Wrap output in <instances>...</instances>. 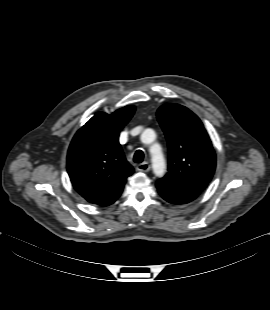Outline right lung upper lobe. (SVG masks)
<instances>
[{"label": "right lung upper lobe", "mask_w": 270, "mask_h": 310, "mask_svg": "<svg viewBox=\"0 0 270 310\" xmlns=\"http://www.w3.org/2000/svg\"><path fill=\"white\" fill-rule=\"evenodd\" d=\"M135 107L111 115L95 114L75 134L67 155V170L74 189L88 202L102 205L121 194L134 169L126 161L118 138Z\"/></svg>", "instance_id": "obj_1"}]
</instances>
